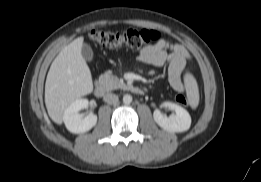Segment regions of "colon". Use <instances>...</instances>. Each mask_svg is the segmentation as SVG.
I'll return each mask as SVG.
<instances>
[{"label": "colon", "instance_id": "1", "mask_svg": "<svg viewBox=\"0 0 261 182\" xmlns=\"http://www.w3.org/2000/svg\"><path fill=\"white\" fill-rule=\"evenodd\" d=\"M156 30L129 28L124 31L93 30L89 34L92 42L109 48H126L139 50L145 48L160 38ZM180 103H186L183 95L176 97Z\"/></svg>", "mask_w": 261, "mask_h": 182}]
</instances>
